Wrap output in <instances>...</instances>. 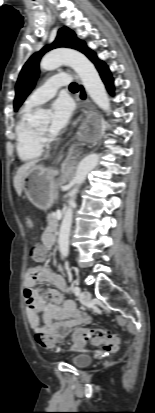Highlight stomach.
<instances>
[{
	"label": "stomach",
	"mask_w": 155,
	"mask_h": 413,
	"mask_svg": "<svg viewBox=\"0 0 155 413\" xmlns=\"http://www.w3.org/2000/svg\"><path fill=\"white\" fill-rule=\"evenodd\" d=\"M55 171L42 165H35L25 174L22 191L28 200L42 210H48L56 199L57 183ZM65 181V178L62 179Z\"/></svg>",
	"instance_id": "stomach-1"
}]
</instances>
